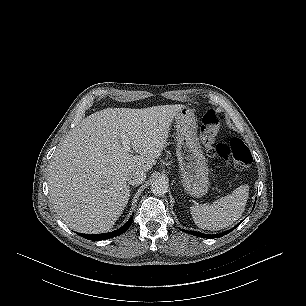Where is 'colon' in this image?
<instances>
[{"instance_id":"obj_1","label":"colon","mask_w":306,"mask_h":306,"mask_svg":"<svg viewBox=\"0 0 306 306\" xmlns=\"http://www.w3.org/2000/svg\"><path fill=\"white\" fill-rule=\"evenodd\" d=\"M220 127L218 113L214 109L207 110L202 118L200 137L208 154L223 162L234 161L240 168L247 167L252 162V155L242 139L235 137L228 144H215Z\"/></svg>"}]
</instances>
